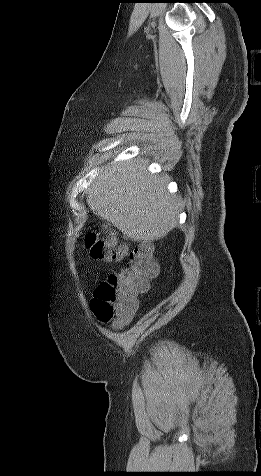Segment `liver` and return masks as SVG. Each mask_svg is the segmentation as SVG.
Segmentation results:
<instances>
[{
	"label": "liver",
	"instance_id": "liver-1",
	"mask_svg": "<svg viewBox=\"0 0 261 476\" xmlns=\"http://www.w3.org/2000/svg\"><path fill=\"white\" fill-rule=\"evenodd\" d=\"M147 159L122 162L103 172L88 189L87 204L124 237L154 241L177 225L180 200L167 193V176L148 175Z\"/></svg>",
	"mask_w": 261,
	"mask_h": 476
}]
</instances>
